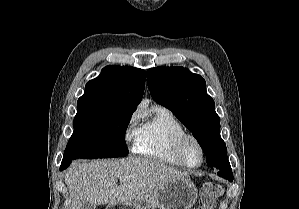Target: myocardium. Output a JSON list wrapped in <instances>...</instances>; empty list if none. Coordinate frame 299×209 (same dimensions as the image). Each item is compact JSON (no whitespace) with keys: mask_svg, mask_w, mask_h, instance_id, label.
Segmentation results:
<instances>
[{"mask_svg":"<svg viewBox=\"0 0 299 209\" xmlns=\"http://www.w3.org/2000/svg\"><path fill=\"white\" fill-rule=\"evenodd\" d=\"M189 141H193L198 146V148L201 152L200 163L195 166H191V165L187 164L184 159L185 146H186L187 142H189ZM173 153H174V156H175L179 166L182 168L188 169V170H194V169L200 168L203 165L204 160H205V148H204L203 144L201 143V141L196 136H194L192 134L186 133L184 135H181L174 143Z\"/></svg>","mask_w":299,"mask_h":209,"instance_id":"f54148a6","label":"myocardium"}]
</instances>
